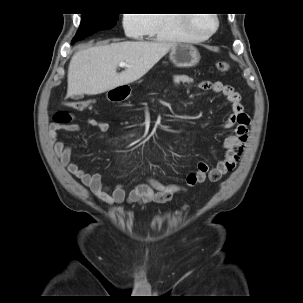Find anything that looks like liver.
<instances>
[{
  "mask_svg": "<svg viewBox=\"0 0 303 303\" xmlns=\"http://www.w3.org/2000/svg\"><path fill=\"white\" fill-rule=\"evenodd\" d=\"M175 43L124 41L82 49L71 58L67 97L97 95L143 77ZM124 62L121 73L116 69Z\"/></svg>",
  "mask_w": 303,
  "mask_h": 303,
  "instance_id": "1",
  "label": "liver"
}]
</instances>
